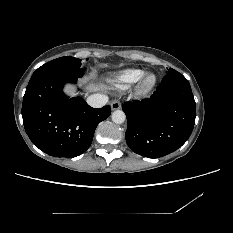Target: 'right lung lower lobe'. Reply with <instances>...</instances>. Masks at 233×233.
Masks as SVG:
<instances>
[{"label":"right lung lower lobe","mask_w":233,"mask_h":233,"mask_svg":"<svg viewBox=\"0 0 233 233\" xmlns=\"http://www.w3.org/2000/svg\"><path fill=\"white\" fill-rule=\"evenodd\" d=\"M77 77L54 72L32 77L22 105L23 124L32 143L54 157L73 158L91 145L97 125L111 114L110 105L90 107L81 97L69 98L62 89Z\"/></svg>","instance_id":"right-lung-lower-lobe-1"}]
</instances>
